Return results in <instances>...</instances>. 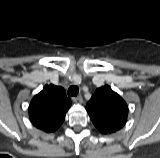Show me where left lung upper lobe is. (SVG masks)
I'll return each mask as SVG.
<instances>
[{
    "instance_id": "left-lung-upper-lobe-1",
    "label": "left lung upper lobe",
    "mask_w": 160,
    "mask_h": 158,
    "mask_svg": "<svg viewBox=\"0 0 160 158\" xmlns=\"http://www.w3.org/2000/svg\"><path fill=\"white\" fill-rule=\"evenodd\" d=\"M86 110L94 126L103 134L120 130L127 121L126 102L108 85L96 89Z\"/></svg>"
}]
</instances>
